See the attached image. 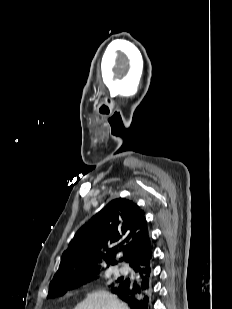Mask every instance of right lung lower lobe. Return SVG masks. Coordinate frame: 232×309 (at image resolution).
<instances>
[{"instance_id":"98d812e1","label":"right lung lower lobe","mask_w":232,"mask_h":309,"mask_svg":"<svg viewBox=\"0 0 232 309\" xmlns=\"http://www.w3.org/2000/svg\"><path fill=\"white\" fill-rule=\"evenodd\" d=\"M132 276L122 278L112 292L125 301L131 309L152 308V256L130 265Z\"/></svg>"}]
</instances>
